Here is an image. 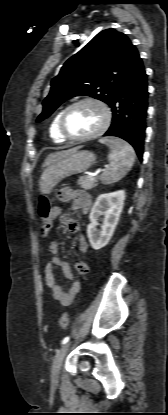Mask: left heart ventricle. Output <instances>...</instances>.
<instances>
[{
    "mask_svg": "<svg viewBox=\"0 0 168 415\" xmlns=\"http://www.w3.org/2000/svg\"><path fill=\"white\" fill-rule=\"evenodd\" d=\"M102 122L101 108L93 103H83L67 113L65 127L70 135L81 137L98 130Z\"/></svg>",
    "mask_w": 168,
    "mask_h": 415,
    "instance_id": "b2bd125f",
    "label": "left heart ventricle"
}]
</instances>
